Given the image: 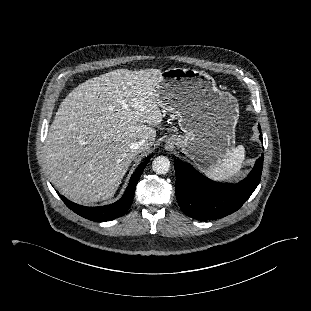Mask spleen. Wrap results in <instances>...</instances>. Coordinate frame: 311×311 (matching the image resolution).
<instances>
[{
	"mask_svg": "<svg viewBox=\"0 0 311 311\" xmlns=\"http://www.w3.org/2000/svg\"><path fill=\"white\" fill-rule=\"evenodd\" d=\"M244 159L245 148L243 145H238L223 162L210 167L205 171V174L216 181H230L239 174Z\"/></svg>",
	"mask_w": 311,
	"mask_h": 311,
	"instance_id": "3e777b00",
	"label": "spleen"
}]
</instances>
